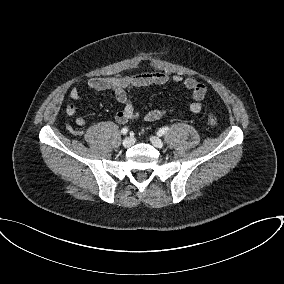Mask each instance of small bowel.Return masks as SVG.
I'll list each match as a JSON object with an SVG mask.
<instances>
[{
	"instance_id": "small-bowel-1",
	"label": "small bowel",
	"mask_w": 284,
	"mask_h": 284,
	"mask_svg": "<svg viewBox=\"0 0 284 284\" xmlns=\"http://www.w3.org/2000/svg\"><path fill=\"white\" fill-rule=\"evenodd\" d=\"M169 82L182 83L184 88L191 92L192 101L188 106L189 112L197 114L202 110L207 88L203 83L191 77L170 76L165 72H148L122 77H94L88 80L87 85L93 90L114 94L116 100L123 105V109L116 114L115 119L117 123L124 125L140 117V112L134 108L132 103L131 92L133 90L152 85H165ZM69 96L72 100H79L82 97L77 87L70 90ZM65 110L68 115H74L77 108L74 103L70 102L67 103ZM165 114L166 111L163 109H153L147 111L143 118L147 122H154L160 120ZM76 123L78 126H83L86 119L80 116L76 119Z\"/></svg>"
}]
</instances>
